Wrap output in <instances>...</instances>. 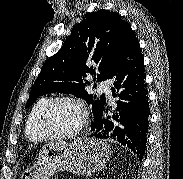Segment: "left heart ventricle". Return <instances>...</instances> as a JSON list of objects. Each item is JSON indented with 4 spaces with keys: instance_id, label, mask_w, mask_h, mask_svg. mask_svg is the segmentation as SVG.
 <instances>
[{
    "instance_id": "left-heart-ventricle-1",
    "label": "left heart ventricle",
    "mask_w": 183,
    "mask_h": 179,
    "mask_svg": "<svg viewBox=\"0 0 183 179\" xmlns=\"http://www.w3.org/2000/svg\"><path fill=\"white\" fill-rule=\"evenodd\" d=\"M81 121L80 109L70 102L56 103L45 118L46 128L53 133H67L74 130Z\"/></svg>"
}]
</instances>
